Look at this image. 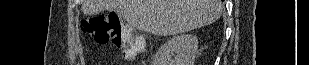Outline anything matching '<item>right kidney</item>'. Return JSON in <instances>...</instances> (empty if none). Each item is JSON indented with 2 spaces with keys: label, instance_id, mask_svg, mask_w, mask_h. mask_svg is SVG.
<instances>
[{
  "label": "right kidney",
  "instance_id": "ca27d5eb",
  "mask_svg": "<svg viewBox=\"0 0 309 65\" xmlns=\"http://www.w3.org/2000/svg\"><path fill=\"white\" fill-rule=\"evenodd\" d=\"M197 51L198 39L195 35H177L161 45L154 65H193Z\"/></svg>",
  "mask_w": 309,
  "mask_h": 65
}]
</instances>
